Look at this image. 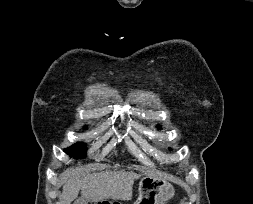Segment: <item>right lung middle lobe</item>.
<instances>
[{
    "instance_id": "right-lung-middle-lobe-1",
    "label": "right lung middle lobe",
    "mask_w": 253,
    "mask_h": 204,
    "mask_svg": "<svg viewBox=\"0 0 253 204\" xmlns=\"http://www.w3.org/2000/svg\"><path fill=\"white\" fill-rule=\"evenodd\" d=\"M86 145L83 143H76L75 145L71 146L70 148H67L64 150L65 153H67L70 156L73 157H81L85 154Z\"/></svg>"
}]
</instances>
